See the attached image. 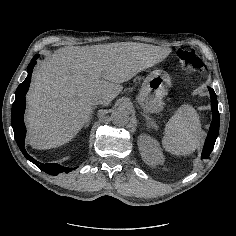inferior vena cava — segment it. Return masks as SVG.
<instances>
[{"mask_svg": "<svg viewBox=\"0 0 236 236\" xmlns=\"http://www.w3.org/2000/svg\"><path fill=\"white\" fill-rule=\"evenodd\" d=\"M105 102H107V99H102L98 103L94 102L93 105H95V104H104Z\"/></svg>", "mask_w": 236, "mask_h": 236, "instance_id": "602c4592", "label": "inferior vena cava"}]
</instances>
